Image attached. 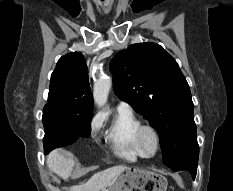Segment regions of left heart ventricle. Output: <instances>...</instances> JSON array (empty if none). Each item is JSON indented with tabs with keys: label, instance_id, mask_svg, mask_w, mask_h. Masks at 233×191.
<instances>
[{
	"label": "left heart ventricle",
	"instance_id": "b2bd125f",
	"mask_svg": "<svg viewBox=\"0 0 233 191\" xmlns=\"http://www.w3.org/2000/svg\"><path fill=\"white\" fill-rule=\"evenodd\" d=\"M144 145L149 152L154 151L155 149V140L151 133L147 132L144 135Z\"/></svg>",
	"mask_w": 233,
	"mask_h": 191
}]
</instances>
